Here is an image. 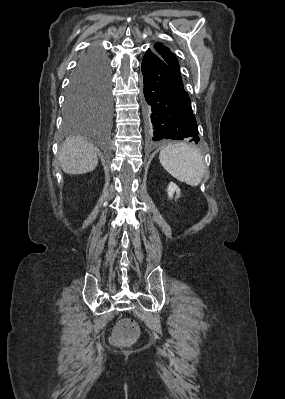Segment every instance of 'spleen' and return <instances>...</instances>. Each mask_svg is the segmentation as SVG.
<instances>
[{
	"mask_svg": "<svg viewBox=\"0 0 285 399\" xmlns=\"http://www.w3.org/2000/svg\"><path fill=\"white\" fill-rule=\"evenodd\" d=\"M159 160L173 177L190 186H198L203 178L205 164L199 150L186 143H174L161 150Z\"/></svg>",
	"mask_w": 285,
	"mask_h": 399,
	"instance_id": "obj_1",
	"label": "spleen"
}]
</instances>
